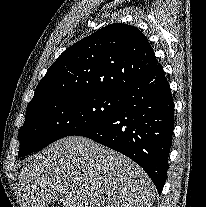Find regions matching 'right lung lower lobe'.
<instances>
[{"label":"right lung lower lobe","mask_w":206,"mask_h":207,"mask_svg":"<svg viewBox=\"0 0 206 207\" xmlns=\"http://www.w3.org/2000/svg\"><path fill=\"white\" fill-rule=\"evenodd\" d=\"M174 130V102L162 65L122 93V104L109 118L78 136L114 149L139 164L159 195L167 178Z\"/></svg>","instance_id":"1"}]
</instances>
